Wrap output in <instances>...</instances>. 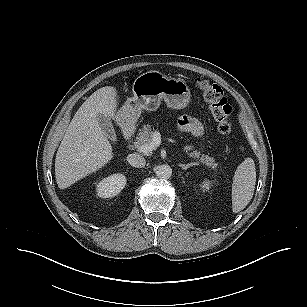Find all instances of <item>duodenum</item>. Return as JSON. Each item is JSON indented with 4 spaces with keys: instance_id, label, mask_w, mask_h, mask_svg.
Here are the masks:
<instances>
[{
    "instance_id": "duodenum-1",
    "label": "duodenum",
    "mask_w": 307,
    "mask_h": 307,
    "mask_svg": "<svg viewBox=\"0 0 307 307\" xmlns=\"http://www.w3.org/2000/svg\"><path fill=\"white\" fill-rule=\"evenodd\" d=\"M133 137H134V132H133V131H129V132H127V133L125 134V139H126L127 141H131V140L133 139Z\"/></svg>"
}]
</instances>
